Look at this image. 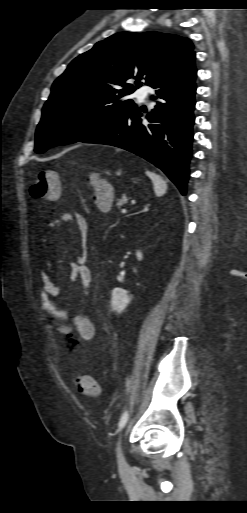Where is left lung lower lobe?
I'll use <instances>...</instances> for the list:
<instances>
[{"label":"left lung lower lobe","mask_w":247,"mask_h":513,"mask_svg":"<svg viewBox=\"0 0 247 513\" xmlns=\"http://www.w3.org/2000/svg\"><path fill=\"white\" fill-rule=\"evenodd\" d=\"M195 57L171 77L156 83L150 101L155 103L145 115L136 106L111 127L84 141L111 145L130 151L151 162L174 182L183 195L189 177L188 164L195 117Z\"/></svg>","instance_id":"1"}]
</instances>
